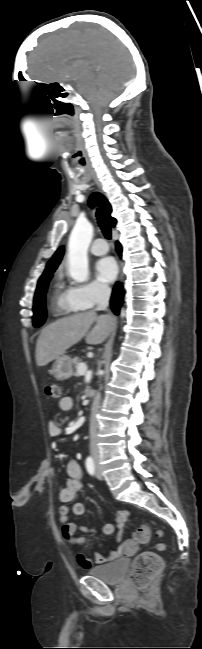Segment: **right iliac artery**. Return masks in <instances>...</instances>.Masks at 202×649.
I'll return each mask as SVG.
<instances>
[{"instance_id":"1","label":"right iliac artery","mask_w":202,"mask_h":649,"mask_svg":"<svg viewBox=\"0 0 202 649\" xmlns=\"http://www.w3.org/2000/svg\"><path fill=\"white\" fill-rule=\"evenodd\" d=\"M85 464H86V468H87L88 473H89L90 475H94V474H95V465H94V461H93V459H92L91 457H88V458L86 459V463H85Z\"/></svg>"}]
</instances>
